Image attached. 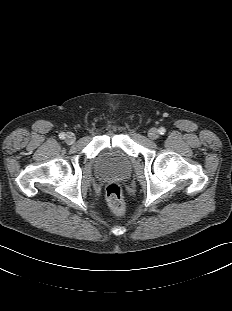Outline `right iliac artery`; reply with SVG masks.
I'll return each instance as SVG.
<instances>
[{"label":"right iliac artery","instance_id":"82829eb1","mask_svg":"<svg viewBox=\"0 0 232 311\" xmlns=\"http://www.w3.org/2000/svg\"><path fill=\"white\" fill-rule=\"evenodd\" d=\"M59 138H60V139H64V138H65V133H63V132L60 133V134H59Z\"/></svg>","mask_w":232,"mask_h":311}]
</instances>
